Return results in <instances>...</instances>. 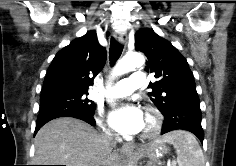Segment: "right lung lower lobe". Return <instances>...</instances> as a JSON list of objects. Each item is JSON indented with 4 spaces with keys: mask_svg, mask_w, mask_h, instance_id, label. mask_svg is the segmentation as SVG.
Here are the masks:
<instances>
[{
    "mask_svg": "<svg viewBox=\"0 0 236 166\" xmlns=\"http://www.w3.org/2000/svg\"><path fill=\"white\" fill-rule=\"evenodd\" d=\"M93 115L94 114L88 113V112L81 110V109H67V110L58 111V112H54V113L40 114L37 119L34 135L45 123H47L48 121H50L52 119L59 118V117H74L77 119H81V120L89 123L92 126H95L96 123L93 118Z\"/></svg>",
    "mask_w": 236,
    "mask_h": 166,
    "instance_id": "right-lung-lower-lobe-1",
    "label": "right lung lower lobe"
}]
</instances>
